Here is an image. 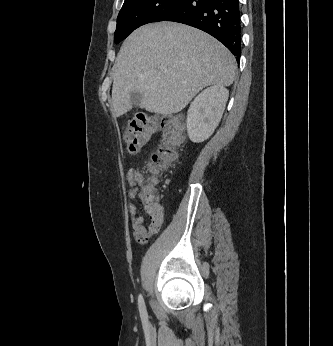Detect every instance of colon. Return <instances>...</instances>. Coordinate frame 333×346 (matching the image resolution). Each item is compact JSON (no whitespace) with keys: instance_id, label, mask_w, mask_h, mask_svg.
I'll return each mask as SVG.
<instances>
[{"instance_id":"obj_1","label":"colon","mask_w":333,"mask_h":346,"mask_svg":"<svg viewBox=\"0 0 333 346\" xmlns=\"http://www.w3.org/2000/svg\"><path fill=\"white\" fill-rule=\"evenodd\" d=\"M162 130L161 143L148 162V171L159 174L170 169L179 158V150L184 142L180 116L172 115L162 120L156 116L138 113L125 129L124 138L130 153L143 149L152 135ZM157 180L151 176L143 179L141 193L146 198H155Z\"/></svg>"}]
</instances>
